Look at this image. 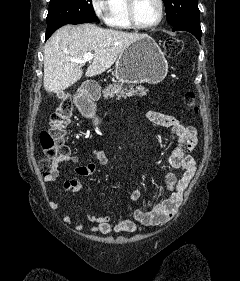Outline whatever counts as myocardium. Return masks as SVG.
Returning <instances> with one entry per match:
<instances>
[{"instance_id":"f54148a6","label":"myocardium","mask_w":240,"mask_h":281,"mask_svg":"<svg viewBox=\"0 0 240 281\" xmlns=\"http://www.w3.org/2000/svg\"><path fill=\"white\" fill-rule=\"evenodd\" d=\"M159 4V16L158 19L149 25L141 24L136 16V3L137 0H127V12H128V19L133 28L140 29V30H149L153 29L157 26H159L163 19L165 14V3L164 0H157Z\"/></svg>"}]
</instances>
